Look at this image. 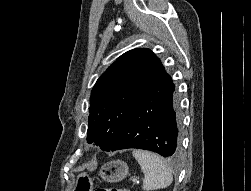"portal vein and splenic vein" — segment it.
Returning a JSON list of instances; mask_svg holds the SVG:
<instances>
[{
	"instance_id": "obj_1",
	"label": "portal vein and splenic vein",
	"mask_w": 251,
	"mask_h": 191,
	"mask_svg": "<svg viewBox=\"0 0 251 191\" xmlns=\"http://www.w3.org/2000/svg\"><path fill=\"white\" fill-rule=\"evenodd\" d=\"M131 183H132V184H135V183H136L135 177H134V179L131 180ZM137 183H138V181H137Z\"/></svg>"
}]
</instances>
